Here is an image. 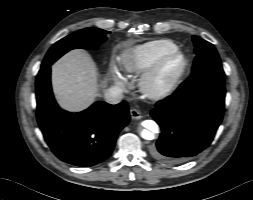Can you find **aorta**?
I'll return each mask as SVG.
<instances>
[{
  "label": "aorta",
  "mask_w": 253,
  "mask_h": 200,
  "mask_svg": "<svg viewBox=\"0 0 253 200\" xmlns=\"http://www.w3.org/2000/svg\"><path fill=\"white\" fill-rule=\"evenodd\" d=\"M142 125L145 129L141 131V137L146 140H153L154 133L158 131V125L152 120H146L142 123Z\"/></svg>",
  "instance_id": "aorta-1"
}]
</instances>
